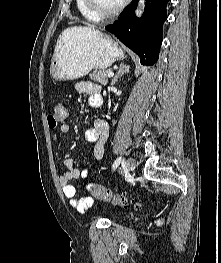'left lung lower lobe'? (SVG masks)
Here are the masks:
<instances>
[{
    "label": "left lung lower lobe",
    "mask_w": 221,
    "mask_h": 263,
    "mask_svg": "<svg viewBox=\"0 0 221 263\" xmlns=\"http://www.w3.org/2000/svg\"><path fill=\"white\" fill-rule=\"evenodd\" d=\"M168 1L146 0L143 16L137 19L134 11L138 0H132L131 4L123 10L120 18L105 29L138 54L141 64L153 65L159 57Z\"/></svg>",
    "instance_id": "0a47b994"
}]
</instances>
